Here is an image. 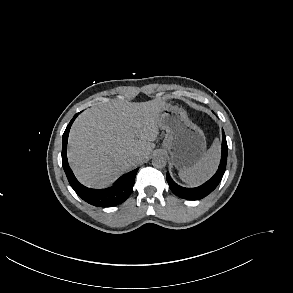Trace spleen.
I'll return each mask as SVG.
<instances>
[{
    "instance_id": "spleen-1",
    "label": "spleen",
    "mask_w": 293,
    "mask_h": 293,
    "mask_svg": "<svg viewBox=\"0 0 293 293\" xmlns=\"http://www.w3.org/2000/svg\"><path fill=\"white\" fill-rule=\"evenodd\" d=\"M220 160V142L215 139L210 149L193 166L179 171L180 179L192 186L208 180L216 171Z\"/></svg>"
}]
</instances>
